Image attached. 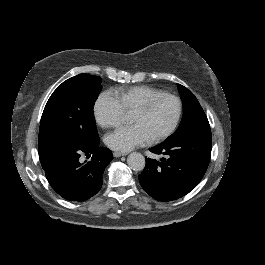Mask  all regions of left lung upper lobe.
Instances as JSON below:
<instances>
[{
    "label": "left lung upper lobe",
    "instance_id": "5c2ea615",
    "mask_svg": "<svg viewBox=\"0 0 265 265\" xmlns=\"http://www.w3.org/2000/svg\"><path fill=\"white\" fill-rule=\"evenodd\" d=\"M178 90L183 105V118L176 132L165 141L179 139L197 131L210 130L208 119L196 97L180 84Z\"/></svg>",
    "mask_w": 265,
    "mask_h": 265
}]
</instances>
